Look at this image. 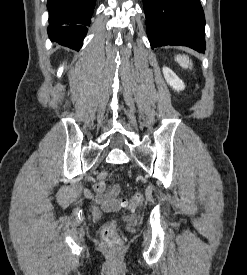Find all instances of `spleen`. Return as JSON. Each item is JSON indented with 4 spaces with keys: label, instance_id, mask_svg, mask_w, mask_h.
Segmentation results:
<instances>
[{
    "label": "spleen",
    "instance_id": "1",
    "mask_svg": "<svg viewBox=\"0 0 247 275\" xmlns=\"http://www.w3.org/2000/svg\"><path fill=\"white\" fill-rule=\"evenodd\" d=\"M175 60L184 69H187V68L192 69V66H193L192 61L189 59L187 55H177L175 57Z\"/></svg>",
    "mask_w": 247,
    "mask_h": 275
}]
</instances>
